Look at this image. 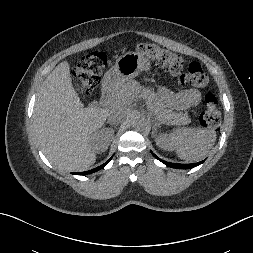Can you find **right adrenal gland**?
Segmentation results:
<instances>
[{
	"label": "right adrenal gland",
	"instance_id": "1",
	"mask_svg": "<svg viewBox=\"0 0 253 253\" xmlns=\"http://www.w3.org/2000/svg\"><path fill=\"white\" fill-rule=\"evenodd\" d=\"M112 125V124H111ZM117 127V125H114V128H116Z\"/></svg>",
	"mask_w": 253,
	"mask_h": 253
}]
</instances>
